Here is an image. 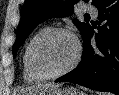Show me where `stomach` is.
Listing matches in <instances>:
<instances>
[{"mask_svg": "<svg viewBox=\"0 0 119 95\" xmlns=\"http://www.w3.org/2000/svg\"><path fill=\"white\" fill-rule=\"evenodd\" d=\"M26 95H85L75 88H39Z\"/></svg>", "mask_w": 119, "mask_h": 95, "instance_id": "0dacf381", "label": "stomach"}]
</instances>
